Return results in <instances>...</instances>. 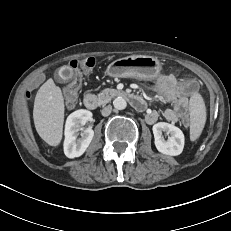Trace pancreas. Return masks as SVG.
I'll return each mask as SVG.
<instances>
[{
    "label": "pancreas",
    "mask_w": 231,
    "mask_h": 231,
    "mask_svg": "<svg viewBox=\"0 0 231 231\" xmlns=\"http://www.w3.org/2000/svg\"><path fill=\"white\" fill-rule=\"evenodd\" d=\"M114 91L111 89H105L104 91H102L101 93L98 94V101L100 104H105L108 103L111 98H112V93Z\"/></svg>",
    "instance_id": "1"
}]
</instances>
